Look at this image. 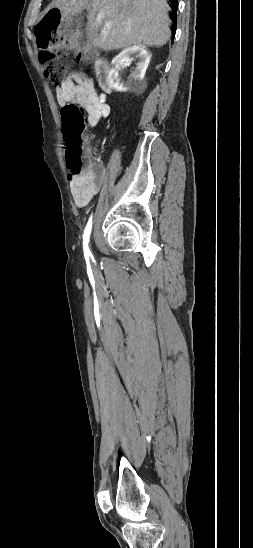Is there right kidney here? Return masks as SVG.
I'll use <instances>...</instances> for the list:
<instances>
[{
	"label": "right kidney",
	"mask_w": 253,
	"mask_h": 548,
	"mask_svg": "<svg viewBox=\"0 0 253 548\" xmlns=\"http://www.w3.org/2000/svg\"><path fill=\"white\" fill-rule=\"evenodd\" d=\"M133 56L138 58L136 68L126 82L120 83L118 76L119 68L130 65L133 61ZM151 56V52L143 45H133L121 51L112 61L113 68L110 70L108 76L110 85L119 92L129 90L142 92L146 88L144 76Z\"/></svg>",
	"instance_id": "right-kidney-1"
}]
</instances>
